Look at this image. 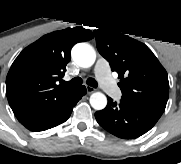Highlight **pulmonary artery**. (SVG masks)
<instances>
[{
  "mask_svg": "<svg viewBox=\"0 0 181 164\" xmlns=\"http://www.w3.org/2000/svg\"><path fill=\"white\" fill-rule=\"evenodd\" d=\"M95 73L99 84L105 92L111 96L119 94V89L114 85L107 66L102 63H98L95 67Z\"/></svg>",
  "mask_w": 181,
  "mask_h": 164,
  "instance_id": "e3ab8cb5",
  "label": "pulmonary artery"
}]
</instances>
